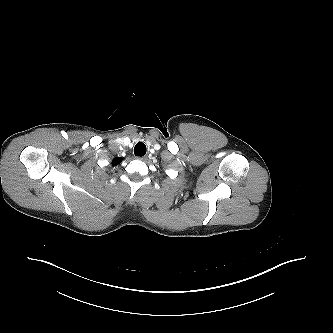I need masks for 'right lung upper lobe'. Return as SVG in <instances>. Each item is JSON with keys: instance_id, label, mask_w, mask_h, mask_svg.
Segmentation results:
<instances>
[{"instance_id": "right-lung-upper-lobe-1", "label": "right lung upper lobe", "mask_w": 333, "mask_h": 333, "mask_svg": "<svg viewBox=\"0 0 333 333\" xmlns=\"http://www.w3.org/2000/svg\"><path fill=\"white\" fill-rule=\"evenodd\" d=\"M121 161H122V158L116 157L113 159L112 164H113V166H115V165L119 164Z\"/></svg>"}]
</instances>
